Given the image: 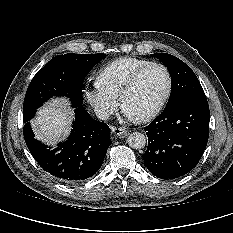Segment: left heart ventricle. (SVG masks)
I'll use <instances>...</instances> for the list:
<instances>
[{"instance_id":"left-heart-ventricle-1","label":"left heart ventricle","mask_w":233,"mask_h":233,"mask_svg":"<svg viewBox=\"0 0 233 233\" xmlns=\"http://www.w3.org/2000/svg\"><path fill=\"white\" fill-rule=\"evenodd\" d=\"M167 88V76L159 67L147 69L126 96L124 107L137 118L151 111L162 99Z\"/></svg>"}]
</instances>
